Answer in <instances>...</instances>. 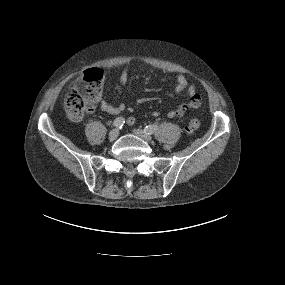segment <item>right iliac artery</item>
<instances>
[{"mask_svg":"<svg viewBox=\"0 0 285 285\" xmlns=\"http://www.w3.org/2000/svg\"><path fill=\"white\" fill-rule=\"evenodd\" d=\"M125 120L123 117H118L114 120L113 122V126L116 128H122V126L124 125Z\"/></svg>","mask_w":285,"mask_h":285,"instance_id":"obj_1","label":"right iliac artery"}]
</instances>
